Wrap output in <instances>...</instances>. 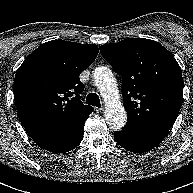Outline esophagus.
Masks as SVG:
<instances>
[{
  "mask_svg": "<svg viewBox=\"0 0 193 193\" xmlns=\"http://www.w3.org/2000/svg\"><path fill=\"white\" fill-rule=\"evenodd\" d=\"M96 111L101 113V112L104 111V107L102 106V107H100V108H97Z\"/></svg>",
  "mask_w": 193,
  "mask_h": 193,
  "instance_id": "34e87169",
  "label": "esophagus"
}]
</instances>
